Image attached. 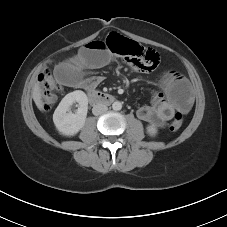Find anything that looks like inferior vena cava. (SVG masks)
Masks as SVG:
<instances>
[{
    "mask_svg": "<svg viewBox=\"0 0 227 227\" xmlns=\"http://www.w3.org/2000/svg\"><path fill=\"white\" fill-rule=\"evenodd\" d=\"M107 109H108V107H107L106 105H104V104H97V105H95V106L93 107L92 113H93L94 115H100V114L106 112Z\"/></svg>",
    "mask_w": 227,
    "mask_h": 227,
    "instance_id": "obj_1",
    "label": "inferior vena cava"
}]
</instances>
